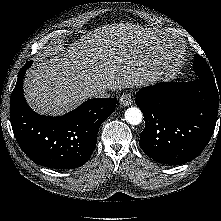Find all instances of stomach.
<instances>
[{"mask_svg": "<svg viewBox=\"0 0 221 221\" xmlns=\"http://www.w3.org/2000/svg\"><path fill=\"white\" fill-rule=\"evenodd\" d=\"M159 41H160V47L162 48V50H164L168 54H175L177 50L175 49L172 43H170L169 41L165 39H159Z\"/></svg>", "mask_w": 221, "mask_h": 221, "instance_id": "0dacf381", "label": "stomach"}]
</instances>
